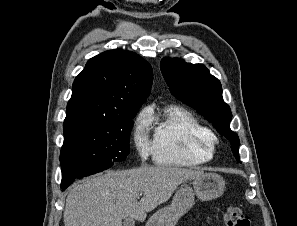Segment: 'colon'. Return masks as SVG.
Instances as JSON below:
<instances>
[{
    "label": "colon",
    "instance_id": "obj_1",
    "mask_svg": "<svg viewBox=\"0 0 297 226\" xmlns=\"http://www.w3.org/2000/svg\"><path fill=\"white\" fill-rule=\"evenodd\" d=\"M227 226H251V221L236 206H229L226 212Z\"/></svg>",
    "mask_w": 297,
    "mask_h": 226
}]
</instances>
